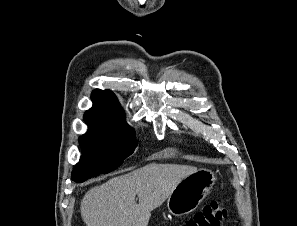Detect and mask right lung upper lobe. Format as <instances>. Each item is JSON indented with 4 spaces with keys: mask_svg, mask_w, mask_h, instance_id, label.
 <instances>
[{
    "mask_svg": "<svg viewBox=\"0 0 297 226\" xmlns=\"http://www.w3.org/2000/svg\"><path fill=\"white\" fill-rule=\"evenodd\" d=\"M91 98L93 107L84 115L86 124L91 128L116 126L124 112L113 92L97 89Z\"/></svg>",
    "mask_w": 297,
    "mask_h": 226,
    "instance_id": "right-lung-upper-lobe-1",
    "label": "right lung upper lobe"
}]
</instances>
